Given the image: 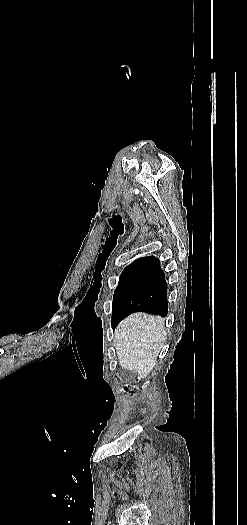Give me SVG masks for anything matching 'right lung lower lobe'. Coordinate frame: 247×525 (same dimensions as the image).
Masks as SVG:
<instances>
[{"label":"right lung lower lobe","instance_id":"98d812e1","mask_svg":"<svg viewBox=\"0 0 247 525\" xmlns=\"http://www.w3.org/2000/svg\"><path fill=\"white\" fill-rule=\"evenodd\" d=\"M136 311L161 316H166L168 313L167 283L158 259L151 264L149 271L125 300L120 316L112 324L113 329L122 319Z\"/></svg>","mask_w":247,"mask_h":525}]
</instances>
